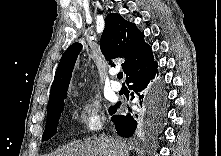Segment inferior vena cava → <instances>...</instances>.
<instances>
[{
	"instance_id": "602c4592",
	"label": "inferior vena cava",
	"mask_w": 221,
	"mask_h": 156,
	"mask_svg": "<svg viewBox=\"0 0 221 156\" xmlns=\"http://www.w3.org/2000/svg\"><path fill=\"white\" fill-rule=\"evenodd\" d=\"M101 139H102L105 143H109V139H108L107 137H105V138L102 137Z\"/></svg>"
}]
</instances>
